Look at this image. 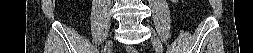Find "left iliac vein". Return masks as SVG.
Returning <instances> with one entry per match:
<instances>
[{
    "label": "left iliac vein",
    "instance_id": "obj_1",
    "mask_svg": "<svg viewBox=\"0 0 253 53\" xmlns=\"http://www.w3.org/2000/svg\"><path fill=\"white\" fill-rule=\"evenodd\" d=\"M152 41H153V45L156 48V50L158 52H162V44L159 40V38L157 37L156 33L152 30Z\"/></svg>",
    "mask_w": 253,
    "mask_h": 53
}]
</instances>
